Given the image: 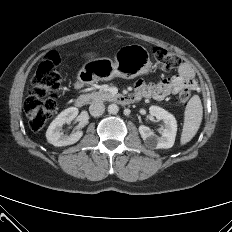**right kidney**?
Listing matches in <instances>:
<instances>
[{"instance_id": "ca27d5eb", "label": "right kidney", "mask_w": 232, "mask_h": 232, "mask_svg": "<svg viewBox=\"0 0 232 232\" xmlns=\"http://www.w3.org/2000/svg\"><path fill=\"white\" fill-rule=\"evenodd\" d=\"M78 115V109L70 107L62 111L50 124L46 131L47 141L57 147L72 145L79 141L83 136L82 131H76L71 135H64L62 132V126L71 121Z\"/></svg>"}]
</instances>
